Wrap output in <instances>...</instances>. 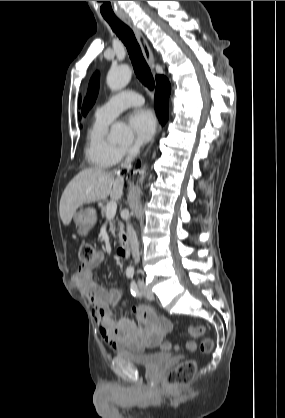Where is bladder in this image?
<instances>
[{
    "instance_id": "bladder-1",
    "label": "bladder",
    "mask_w": 285,
    "mask_h": 418,
    "mask_svg": "<svg viewBox=\"0 0 285 418\" xmlns=\"http://www.w3.org/2000/svg\"><path fill=\"white\" fill-rule=\"evenodd\" d=\"M117 355L125 356L138 366L152 368L161 365L168 361L170 354L163 351L155 352H137L129 347L120 348L117 350Z\"/></svg>"
}]
</instances>
